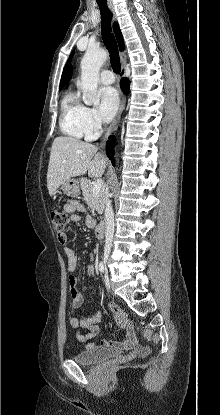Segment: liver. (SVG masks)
<instances>
[{
	"instance_id": "6515ba94",
	"label": "liver",
	"mask_w": 220,
	"mask_h": 415,
	"mask_svg": "<svg viewBox=\"0 0 220 415\" xmlns=\"http://www.w3.org/2000/svg\"><path fill=\"white\" fill-rule=\"evenodd\" d=\"M106 159L98 148L73 137H56L53 141L47 171L50 196L72 177L84 175L99 177L105 171Z\"/></svg>"
}]
</instances>
